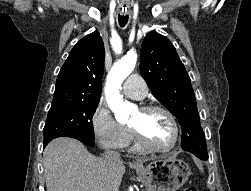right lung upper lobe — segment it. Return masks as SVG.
<instances>
[{"label": "right lung upper lobe", "mask_w": 251, "mask_h": 191, "mask_svg": "<svg viewBox=\"0 0 251 191\" xmlns=\"http://www.w3.org/2000/svg\"><path fill=\"white\" fill-rule=\"evenodd\" d=\"M104 56L103 41L97 31L78 41L58 74L52 106L99 101Z\"/></svg>", "instance_id": "right-lung-upper-lobe-1"}]
</instances>
